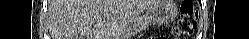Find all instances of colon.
Wrapping results in <instances>:
<instances>
[{"mask_svg":"<svg viewBox=\"0 0 249 39\" xmlns=\"http://www.w3.org/2000/svg\"><path fill=\"white\" fill-rule=\"evenodd\" d=\"M197 11L191 1H185L180 7V15L172 29V35L183 38L194 33L197 23Z\"/></svg>","mask_w":249,"mask_h":39,"instance_id":"obj_1","label":"colon"}]
</instances>
